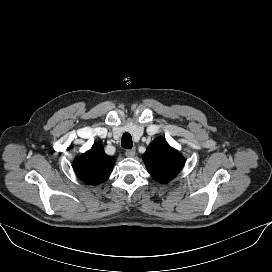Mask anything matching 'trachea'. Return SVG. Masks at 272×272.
<instances>
[{
  "instance_id": "1",
  "label": "trachea",
  "mask_w": 272,
  "mask_h": 272,
  "mask_svg": "<svg viewBox=\"0 0 272 272\" xmlns=\"http://www.w3.org/2000/svg\"><path fill=\"white\" fill-rule=\"evenodd\" d=\"M121 145L125 149H131L133 146L132 137L129 133H124L121 139Z\"/></svg>"
}]
</instances>
